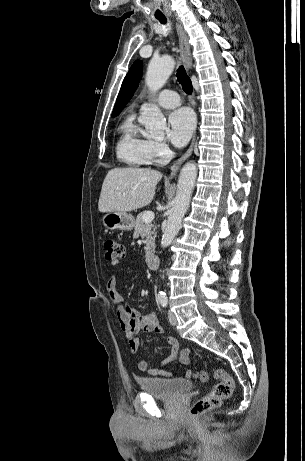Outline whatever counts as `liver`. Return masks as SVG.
<instances>
[{"instance_id":"6515ba94","label":"liver","mask_w":305,"mask_h":461,"mask_svg":"<svg viewBox=\"0 0 305 461\" xmlns=\"http://www.w3.org/2000/svg\"><path fill=\"white\" fill-rule=\"evenodd\" d=\"M159 171L149 168H114L102 184L98 209L106 212H130L147 206L153 200Z\"/></svg>"}]
</instances>
